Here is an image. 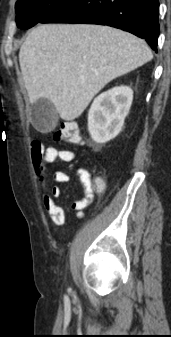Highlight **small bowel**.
<instances>
[{"instance_id": "1", "label": "small bowel", "mask_w": 171, "mask_h": 337, "mask_svg": "<svg viewBox=\"0 0 171 337\" xmlns=\"http://www.w3.org/2000/svg\"><path fill=\"white\" fill-rule=\"evenodd\" d=\"M75 159V153L70 150L60 149L54 146L44 148L40 142H33L31 160L37 185L41 191L42 201L49 218L51 222L57 226H61L66 222V214L63 208L56 202V199L61 195L60 187H49L47 183V165L56 160L72 163ZM76 173L84 188L83 198L72 203V209L75 211L72 220L78 222L84 218L83 210L93 202L95 195L93 181L89 172L84 168H77ZM53 180L58 184H65L71 181V176L64 171H55Z\"/></svg>"}]
</instances>
